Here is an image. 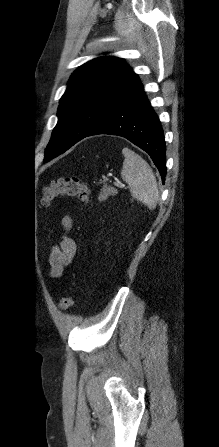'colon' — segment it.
<instances>
[{
	"label": "colon",
	"mask_w": 219,
	"mask_h": 447,
	"mask_svg": "<svg viewBox=\"0 0 219 447\" xmlns=\"http://www.w3.org/2000/svg\"><path fill=\"white\" fill-rule=\"evenodd\" d=\"M58 197H76L81 203L86 204L90 201L91 190L77 177L61 178L43 188L42 203L49 205ZM73 304L74 297L68 294L61 299L59 306L62 310H68Z\"/></svg>",
	"instance_id": "5ec220e1"
}]
</instances>
